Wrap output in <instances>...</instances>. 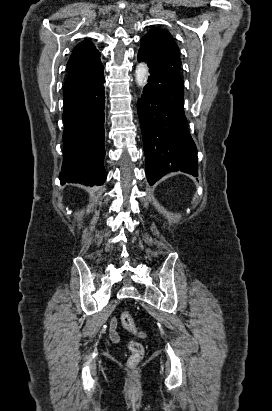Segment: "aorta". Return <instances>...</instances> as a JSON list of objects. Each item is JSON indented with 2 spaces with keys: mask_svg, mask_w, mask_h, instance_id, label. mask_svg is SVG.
Listing matches in <instances>:
<instances>
[{
  "mask_svg": "<svg viewBox=\"0 0 272 411\" xmlns=\"http://www.w3.org/2000/svg\"><path fill=\"white\" fill-rule=\"evenodd\" d=\"M148 78V67L145 63H139L135 70V81L139 87H144Z\"/></svg>",
  "mask_w": 272,
  "mask_h": 411,
  "instance_id": "obj_1",
  "label": "aorta"
}]
</instances>
